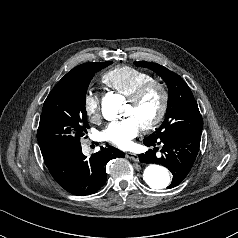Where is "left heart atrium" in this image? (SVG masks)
<instances>
[{
	"mask_svg": "<svg viewBox=\"0 0 238 238\" xmlns=\"http://www.w3.org/2000/svg\"><path fill=\"white\" fill-rule=\"evenodd\" d=\"M140 127L138 122L129 116L120 121L110 123L103 131V137L117 147L126 149L132 145V141L138 135Z\"/></svg>",
	"mask_w": 238,
	"mask_h": 238,
	"instance_id": "39dd6f15",
	"label": "left heart atrium"
}]
</instances>
